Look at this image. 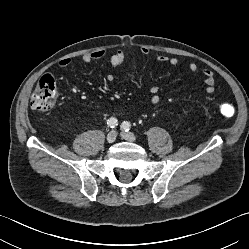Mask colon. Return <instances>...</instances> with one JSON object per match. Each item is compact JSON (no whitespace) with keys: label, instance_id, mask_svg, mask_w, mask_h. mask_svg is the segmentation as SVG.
<instances>
[{"label":"colon","instance_id":"5ec220e1","mask_svg":"<svg viewBox=\"0 0 249 249\" xmlns=\"http://www.w3.org/2000/svg\"><path fill=\"white\" fill-rule=\"evenodd\" d=\"M56 81L50 74L43 75L35 87L32 96V107L40 112H50L56 104ZM224 117H231L234 114V108L229 103H222L219 107Z\"/></svg>","mask_w":249,"mask_h":249}]
</instances>
